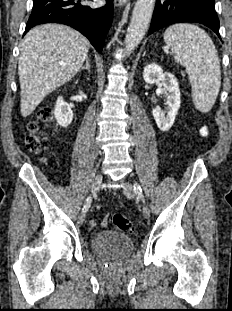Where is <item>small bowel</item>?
<instances>
[{
	"mask_svg": "<svg viewBox=\"0 0 232 311\" xmlns=\"http://www.w3.org/2000/svg\"><path fill=\"white\" fill-rule=\"evenodd\" d=\"M89 224H90L91 227H95V226L97 225V222H96V220L91 219L90 222H89ZM101 224H102L103 226H105V225L107 224V220L104 219V220L102 221Z\"/></svg>",
	"mask_w": 232,
	"mask_h": 311,
	"instance_id": "1",
	"label": "small bowel"
}]
</instances>
